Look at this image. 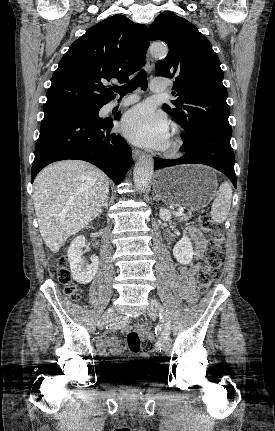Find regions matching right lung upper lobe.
<instances>
[{"instance_id": "obj_1", "label": "right lung upper lobe", "mask_w": 275, "mask_h": 431, "mask_svg": "<svg viewBox=\"0 0 275 431\" xmlns=\"http://www.w3.org/2000/svg\"><path fill=\"white\" fill-rule=\"evenodd\" d=\"M149 44L147 27L122 15L91 27L60 60L47 91L44 114L102 106L114 99L107 82H127L144 65Z\"/></svg>"}]
</instances>
